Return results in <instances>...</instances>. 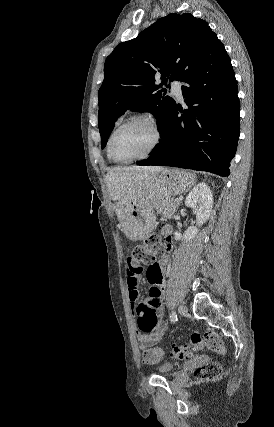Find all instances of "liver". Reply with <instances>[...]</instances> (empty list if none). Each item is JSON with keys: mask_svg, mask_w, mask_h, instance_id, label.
Wrapping results in <instances>:
<instances>
[{"mask_svg": "<svg viewBox=\"0 0 274 427\" xmlns=\"http://www.w3.org/2000/svg\"><path fill=\"white\" fill-rule=\"evenodd\" d=\"M160 166H132V168H111L106 174L109 196L113 202H130L136 188L144 178H152L162 172Z\"/></svg>", "mask_w": 274, "mask_h": 427, "instance_id": "1", "label": "liver"}]
</instances>
